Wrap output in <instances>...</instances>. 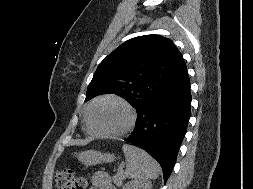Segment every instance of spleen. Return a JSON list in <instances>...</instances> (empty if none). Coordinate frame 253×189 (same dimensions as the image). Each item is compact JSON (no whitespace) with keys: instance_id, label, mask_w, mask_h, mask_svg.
I'll return each mask as SVG.
<instances>
[{"instance_id":"obj_1","label":"spleen","mask_w":253,"mask_h":189,"mask_svg":"<svg viewBox=\"0 0 253 189\" xmlns=\"http://www.w3.org/2000/svg\"><path fill=\"white\" fill-rule=\"evenodd\" d=\"M122 149L127 161L126 177L136 180L158 178L161 168L146 151L129 144H124Z\"/></svg>"}]
</instances>
